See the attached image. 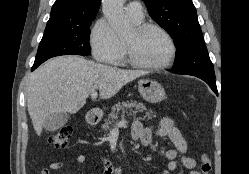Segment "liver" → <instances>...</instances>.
<instances>
[{
	"mask_svg": "<svg viewBox=\"0 0 249 174\" xmlns=\"http://www.w3.org/2000/svg\"><path fill=\"white\" fill-rule=\"evenodd\" d=\"M147 74L86 60L79 56L55 57L37 68L28 79L27 107L37 135L54 113L78 112L99 89L101 99L113 97L124 85Z\"/></svg>",
	"mask_w": 249,
	"mask_h": 174,
	"instance_id": "obj_1",
	"label": "liver"
}]
</instances>
